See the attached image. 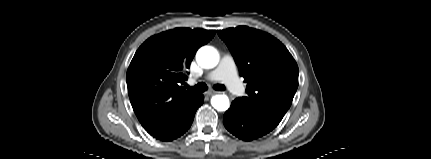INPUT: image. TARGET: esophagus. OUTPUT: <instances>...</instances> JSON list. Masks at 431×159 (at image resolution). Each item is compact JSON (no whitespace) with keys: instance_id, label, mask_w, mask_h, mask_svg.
I'll return each mask as SVG.
<instances>
[{"instance_id":"34e87169","label":"esophagus","mask_w":431,"mask_h":159,"mask_svg":"<svg viewBox=\"0 0 431 159\" xmlns=\"http://www.w3.org/2000/svg\"><path fill=\"white\" fill-rule=\"evenodd\" d=\"M216 93H218L217 91H214V90H209V91H207L206 92V95L207 96H212V95H214V94H216Z\"/></svg>"}]
</instances>
